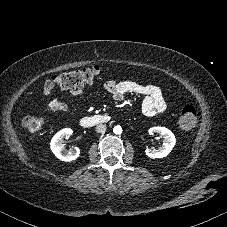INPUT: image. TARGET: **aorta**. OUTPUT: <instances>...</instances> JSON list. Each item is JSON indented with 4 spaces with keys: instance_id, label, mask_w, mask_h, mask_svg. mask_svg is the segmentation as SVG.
<instances>
[{
    "instance_id": "aorta-1",
    "label": "aorta",
    "mask_w": 227,
    "mask_h": 227,
    "mask_svg": "<svg viewBox=\"0 0 227 227\" xmlns=\"http://www.w3.org/2000/svg\"><path fill=\"white\" fill-rule=\"evenodd\" d=\"M113 131H114L115 134H121L122 128H121V126H115Z\"/></svg>"
}]
</instances>
